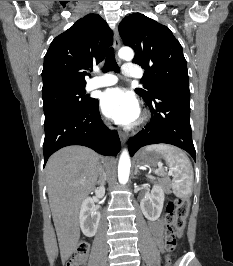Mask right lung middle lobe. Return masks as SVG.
<instances>
[{"instance_id": "1", "label": "right lung middle lobe", "mask_w": 233, "mask_h": 266, "mask_svg": "<svg viewBox=\"0 0 233 266\" xmlns=\"http://www.w3.org/2000/svg\"><path fill=\"white\" fill-rule=\"evenodd\" d=\"M93 101L94 99L85 96V87L43 94L45 120L60 113L86 109Z\"/></svg>"}]
</instances>
